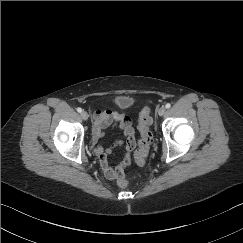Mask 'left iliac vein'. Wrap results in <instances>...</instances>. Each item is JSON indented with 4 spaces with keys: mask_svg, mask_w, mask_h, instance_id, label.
<instances>
[{
    "mask_svg": "<svg viewBox=\"0 0 243 243\" xmlns=\"http://www.w3.org/2000/svg\"><path fill=\"white\" fill-rule=\"evenodd\" d=\"M165 112H166V108H165V107H160V108L158 109V114H159L160 116H163V115L165 114Z\"/></svg>",
    "mask_w": 243,
    "mask_h": 243,
    "instance_id": "4c4485c4",
    "label": "left iliac vein"
}]
</instances>
